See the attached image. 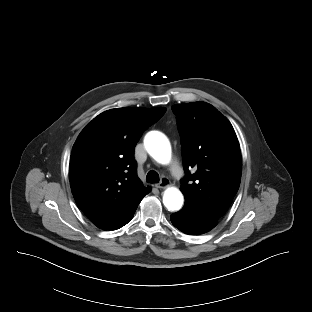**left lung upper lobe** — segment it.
<instances>
[{
  "label": "left lung upper lobe",
  "mask_w": 312,
  "mask_h": 312,
  "mask_svg": "<svg viewBox=\"0 0 312 312\" xmlns=\"http://www.w3.org/2000/svg\"><path fill=\"white\" fill-rule=\"evenodd\" d=\"M181 136L184 168L181 191L188 206L219 219L241 181L242 160L235 131L226 117L206 102L172 106ZM194 173L190 174L189 169Z\"/></svg>",
  "instance_id": "obj_1"
}]
</instances>
